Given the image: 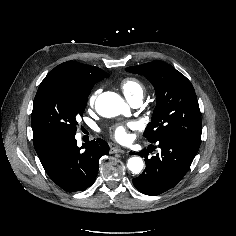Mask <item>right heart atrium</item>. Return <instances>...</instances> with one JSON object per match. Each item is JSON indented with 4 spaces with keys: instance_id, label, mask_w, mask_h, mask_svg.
I'll list each match as a JSON object with an SVG mask.
<instances>
[{
    "instance_id": "d8ad5b80",
    "label": "right heart atrium",
    "mask_w": 236,
    "mask_h": 236,
    "mask_svg": "<svg viewBox=\"0 0 236 236\" xmlns=\"http://www.w3.org/2000/svg\"><path fill=\"white\" fill-rule=\"evenodd\" d=\"M97 93H93L89 98V105L93 106L96 100Z\"/></svg>"
}]
</instances>
